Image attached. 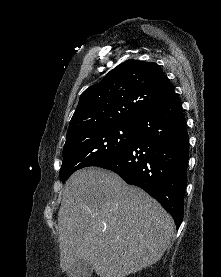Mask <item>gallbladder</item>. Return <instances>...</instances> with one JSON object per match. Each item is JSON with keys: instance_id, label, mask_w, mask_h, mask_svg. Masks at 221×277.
Listing matches in <instances>:
<instances>
[{"instance_id": "bac80fb5", "label": "gallbladder", "mask_w": 221, "mask_h": 277, "mask_svg": "<svg viewBox=\"0 0 221 277\" xmlns=\"http://www.w3.org/2000/svg\"><path fill=\"white\" fill-rule=\"evenodd\" d=\"M94 267L87 260H78L67 270L68 277H91Z\"/></svg>"}]
</instances>
